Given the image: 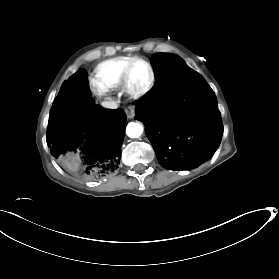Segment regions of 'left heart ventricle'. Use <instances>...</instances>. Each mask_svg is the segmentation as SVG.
I'll return each instance as SVG.
<instances>
[{"instance_id": "1", "label": "left heart ventricle", "mask_w": 279, "mask_h": 279, "mask_svg": "<svg viewBox=\"0 0 279 279\" xmlns=\"http://www.w3.org/2000/svg\"><path fill=\"white\" fill-rule=\"evenodd\" d=\"M150 80V71L146 64L136 62L130 73V84L135 90L144 88Z\"/></svg>"}]
</instances>
